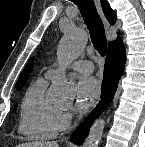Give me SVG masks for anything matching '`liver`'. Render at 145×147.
Wrapping results in <instances>:
<instances>
[{"label": "liver", "instance_id": "liver-1", "mask_svg": "<svg viewBox=\"0 0 145 147\" xmlns=\"http://www.w3.org/2000/svg\"><path fill=\"white\" fill-rule=\"evenodd\" d=\"M17 147H59L57 142H29L19 144Z\"/></svg>", "mask_w": 145, "mask_h": 147}]
</instances>
